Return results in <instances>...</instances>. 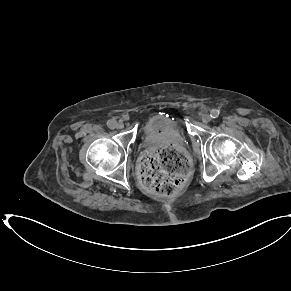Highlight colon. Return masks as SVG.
Returning <instances> with one entry per match:
<instances>
[{"label": "colon", "instance_id": "5ec220e1", "mask_svg": "<svg viewBox=\"0 0 291 291\" xmlns=\"http://www.w3.org/2000/svg\"><path fill=\"white\" fill-rule=\"evenodd\" d=\"M190 165L184 154L173 147L152 148L140 163L143 187L158 196H171L183 186Z\"/></svg>", "mask_w": 291, "mask_h": 291}]
</instances>
